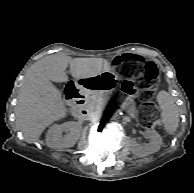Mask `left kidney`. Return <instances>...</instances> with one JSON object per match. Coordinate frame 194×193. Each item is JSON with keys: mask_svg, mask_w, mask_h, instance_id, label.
I'll return each instance as SVG.
<instances>
[{"mask_svg": "<svg viewBox=\"0 0 194 193\" xmlns=\"http://www.w3.org/2000/svg\"><path fill=\"white\" fill-rule=\"evenodd\" d=\"M145 133L150 139L148 144L140 145L134 140H131L129 144L132 153L139 157H144L157 152L162 144V138L155 130L147 129Z\"/></svg>", "mask_w": 194, "mask_h": 193, "instance_id": "1", "label": "left kidney"}]
</instances>
